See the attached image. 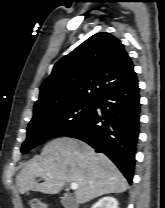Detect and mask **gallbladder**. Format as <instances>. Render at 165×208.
I'll return each instance as SVG.
<instances>
[{
  "instance_id": "obj_1",
  "label": "gallbladder",
  "mask_w": 165,
  "mask_h": 208,
  "mask_svg": "<svg viewBox=\"0 0 165 208\" xmlns=\"http://www.w3.org/2000/svg\"><path fill=\"white\" fill-rule=\"evenodd\" d=\"M61 204L65 208H76V201L73 197L69 195H64L61 197Z\"/></svg>"
}]
</instances>
